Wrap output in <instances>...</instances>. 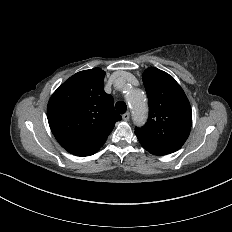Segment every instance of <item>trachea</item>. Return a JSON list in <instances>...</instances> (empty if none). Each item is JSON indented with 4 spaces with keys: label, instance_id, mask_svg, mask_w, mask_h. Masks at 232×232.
<instances>
[{
    "label": "trachea",
    "instance_id": "obj_1",
    "mask_svg": "<svg viewBox=\"0 0 232 232\" xmlns=\"http://www.w3.org/2000/svg\"><path fill=\"white\" fill-rule=\"evenodd\" d=\"M115 108L119 114H124L127 110L126 103L123 101L117 102Z\"/></svg>",
    "mask_w": 232,
    "mask_h": 232
}]
</instances>
